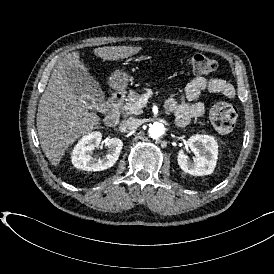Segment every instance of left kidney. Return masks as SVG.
<instances>
[{
  "label": "left kidney",
  "mask_w": 274,
  "mask_h": 274,
  "mask_svg": "<svg viewBox=\"0 0 274 274\" xmlns=\"http://www.w3.org/2000/svg\"><path fill=\"white\" fill-rule=\"evenodd\" d=\"M186 145L194 153L193 162L180 150L177 156L178 165L193 176H204L213 173L218 159V143L213 136L196 134L191 136Z\"/></svg>",
  "instance_id": "1"
}]
</instances>
